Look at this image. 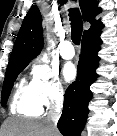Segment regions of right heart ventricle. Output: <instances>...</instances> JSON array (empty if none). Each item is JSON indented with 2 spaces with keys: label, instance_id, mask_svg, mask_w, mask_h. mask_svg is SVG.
<instances>
[{
  "label": "right heart ventricle",
  "instance_id": "e07e8e85",
  "mask_svg": "<svg viewBox=\"0 0 117 136\" xmlns=\"http://www.w3.org/2000/svg\"><path fill=\"white\" fill-rule=\"evenodd\" d=\"M11 109L17 114L24 116H39L42 107L36 102L23 80L19 82L12 98Z\"/></svg>",
  "mask_w": 117,
  "mask_h": 136
}]
</instances>
